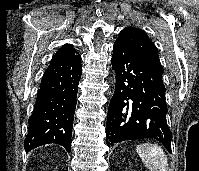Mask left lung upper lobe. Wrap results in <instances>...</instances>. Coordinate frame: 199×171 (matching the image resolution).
<instances>
[{
    "mask_svg": "<svg viewBox=\"0 0 199 171\" xmlns=\"http://www.w3.org/2000/svg\"><path fill=\"white\" fill-rule=\"evenodd\" d=\"M116 42L127 46L141 58L164 71L154 43L143 30L134 27H126L119 33Z\"/></svg>",
    "mask_w": 199,
    "mask_h": 171,
    "instance_id": "left-lung-upper-lobe-1",
    "label": "left lung upper lobe"
}]
</instances>
